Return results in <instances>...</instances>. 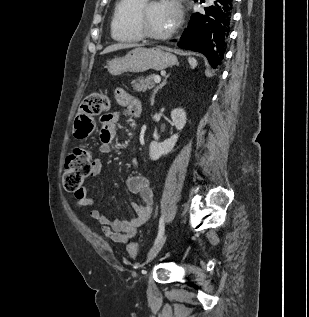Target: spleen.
<instances>
[{"instance_id": "3e777b00", "label": "spleen", "mask_w": 309, "mask_h": 317, "mask_svg": "<svg viewBox=\"0 0 309 317\" xmlns=\"http://www.w3.org/2000/svg\"><path fill=\"white\" fill-rule=\"evenodd\" d=\"M188 62H189L190 67H192V68H195L197 66V61L195 58L189 57Z\"/></svg>"}]
</instances>
